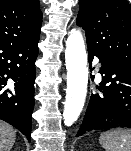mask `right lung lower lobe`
I'll use <instances>...</instances> for the list:
<instances>
[{"mask_svg": "<svg viewBox=\"0 0 131 151\" xmlns=\"http://www.w3.org/2000/svg\"><path fill=\"white\" fill-rule=\"evenodd\" d=\"M38 41L0 45V119L17 128L29 141Z\"/></svg>", "mask_w": 131, "mask_h": 151, "instance_id": "right-lung-lower-lobe-1", "label": "right lung lower lobe"}]
</instances>
